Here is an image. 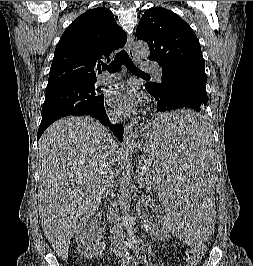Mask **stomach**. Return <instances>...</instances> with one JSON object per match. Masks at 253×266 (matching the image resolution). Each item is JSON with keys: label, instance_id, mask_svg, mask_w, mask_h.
I'll use <instances>...</instances> for the list:
<instances>
[{"label": "stomach", "instance_id": "stomach-1", "mask_svg": "<svg viewBox=\"0 0 253 266\" xmlns=\"http://www.w3.org/2000/svg\"><path fill=\"white\" fill-rule=\"evenodd\" d=\"M181 111H187V110H181ZM165 115V114H164ZM145 141H136L132 143L133 147H136L139 151H141L145 156H147L149 160V150L151 145H155L154 141L156 136H154V132H152V129L148 130L147 134L144 136Z\"/></svg>", "mask_w": 253, "mask_h": 266}]
</instances>
